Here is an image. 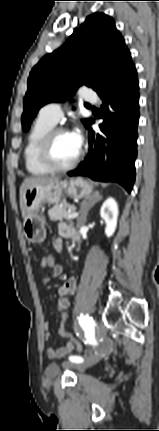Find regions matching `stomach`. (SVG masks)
Segmentation results:
<instances>
[{"label": "stomach", "mask_w": 159, "mask_h": 431, "mask_svg": "<svg viewBox=\"0 0 159 431\" xmlns=\"http://www.w3.org/2000/svg\"><path fill=\"white\" fill-rule=\"evenodd\" d=\"M92 191V185L82 178L27 188L24 192L26 217L23 223L26 239L33 243H40L46 238L45 217L41 211L44 203H59L63 195L78 199L86 198Z\"/></svg>", "instance_id": "stomach-1"}]
</instances>
